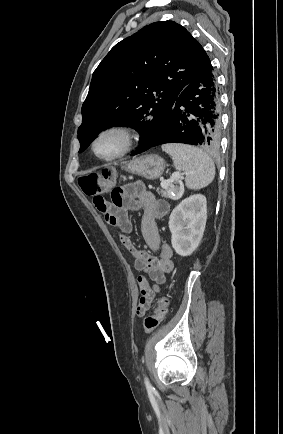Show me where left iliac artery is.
<instances>
[{
  "label": "left iliac artery",
  "mask_w": 283,
  "mask_h": 434,
  "mask_svg": "<svg viewBox=\"0 0 283 434\" xmlns=\"http://www.w3.org/2000/svg\"><path fill=\"white\" fill-rule=\"evenodd\" d=\"M145 386L148 392H152L154 389L147 377H145Z\"/></svg>",
  "instance_id": "44dca946"
}]
</instances>
